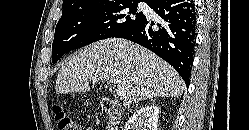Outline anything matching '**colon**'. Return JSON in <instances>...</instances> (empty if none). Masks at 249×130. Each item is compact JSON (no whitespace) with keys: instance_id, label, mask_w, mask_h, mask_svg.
Wrapping results in <instances>:
<instances>
[{"instance_id":"obj_1","label":"colon","mask_w":249,"mask_h":130,"mask_svg":"<svg viewBox=\"0 0 249 130\" xmlns=\"http://www.w3.org/2000/svg\"><path fill=\"white\" fill-rule=\"evenodd\" d=\"M54 112L59 130H81L80 125L73 118L65 114L60 107H55Z\"/></svg>"}]
</instances>
